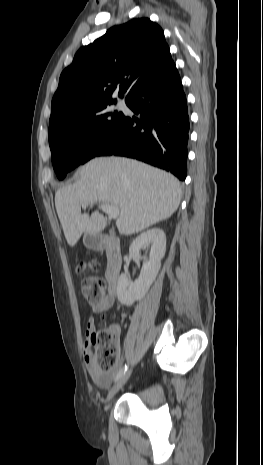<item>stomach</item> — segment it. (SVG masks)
<instances>
[{
  "label": "stomach",
  "instance_id": "stomach-1",
  "mask_svg": "<svg viewBox=\"0 0 263 465\" xmlns=\"http://www.w3.org/2000/svg\"><path fill=\"white\" fill-rule=\"evenodd\" d=\"M83 243L88 248L96 247V245H97L96 235L85 233L84 238H83Z\"/></svg>",
  "mask_w": 263,
  "mask_h": 465
}]
</instances>
